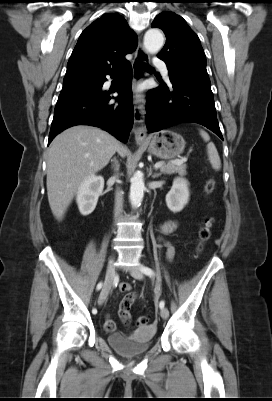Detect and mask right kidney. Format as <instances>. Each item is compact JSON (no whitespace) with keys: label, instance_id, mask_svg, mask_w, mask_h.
Returning a JSON list of instances; mask_svg holds the SVG:
<instances>
[{"label":"right kidney","instance_id":"right-kidney-1","mask_svg":"<svg viewBox=\"0 0 272 401\" xmlns=\"http://www.w3.org/2000/svg\"><path fill=\"white\" fill-rule=\"evenodd\" d=\"M103 188L104 178L102 176L91 175L82 181L78 188L76 202L83 216L94 211Z\"/></svg>","mask_w":272,"mask_h":401}]
</instances>
